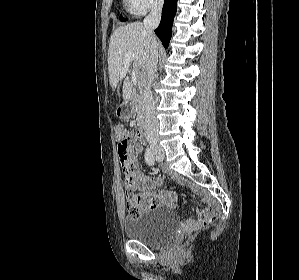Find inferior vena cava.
<instances>
[{
    "instance_id": "obj_1",
    "label": "inferior vena cava",
    "mask_w": 299,
    "mask_h": 280,
    "mask_svg": "<svg viewBox=\"0 0 299 280\" xmlns=\"http://www.w3.org/2000/svg\"><path fill=\"white\" fill-rule=\"evenodd\" d=\"M164 0H155L151 12L144 19V30L147 33L149 43V59L147 65L146 87L144 91L145 105V132L149 144H159V125L156 117V108L151 84L157 72L158 49L154 30L158 27L161 19V11Z\"/></svg>"
}]
</instances>
